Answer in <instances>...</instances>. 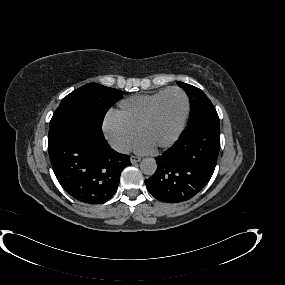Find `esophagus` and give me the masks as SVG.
<instances>
[{"label":"esophagus","mask_w":285,"mask_h":285,"mask_svg":"<svg viewBox=\"0 0 285 285\" xmlns=\"http://www.w3.org/2000/svg\"><path fill=\"white\" fill-rule=\"evenodd\" d=\"M130 160H131V163H132V164H135V163L139 162V161L141 160V158L138 157V156L132 155V156L130 157Z\"/></svg>","instance_id":"1"}]
</instances>
